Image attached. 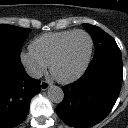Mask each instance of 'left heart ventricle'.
I'll return each mask as SVG.
<instances>
[{
    "label": "left heart ventricle",
    "instance_id": "left-heart-ventricle-1",
    "mask_svg": "<svg viewBox=\"0 0 128 128\" xmlns=\"http://www.w3.org/2000/svg\"><path fill=\"white\" fill-rule=\"evenodd\" d=\"M89 51V40L84 34L73 36L67 43L61 60L57 63L54 73L59 78L74 75L85 62Z\"/></svg>",
    "mask_w": 128,
    "mask_h": 128
}]
</instances>
